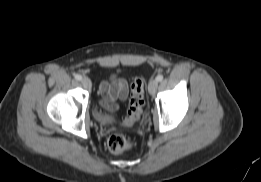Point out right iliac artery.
<instances>
[{
    "label": "right iliac artery",
    "instance_id": "82829eb1",
    "mask_svg": "<svg viewBox=\"0 0 261 182\" xmlns=\"http://www.w3.org/2000/svg\"><path fill=\"white\" fill-rule=\"evenodd\" d=\"M75 79L78 80V81H80V80L82 79V76L79 75V74H76V75H75Z\"/></svg>",
    "mask_w": 261,
    "mask_h": 182
}]
</instances>
